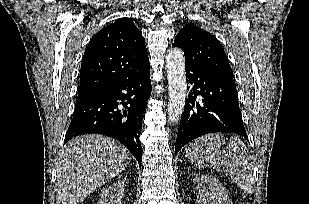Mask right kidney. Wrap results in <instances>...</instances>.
Returning <instances> with one entry per match:
<instances>
[{"mask_svg":"<svg viewBox=\"0 0 309 204\" xmlns=\"http://www.w3.org/2000/svg\"><path fill=\"white\" fill-rule=\"evenodd\" d=\"M124 192V182H116L101 190L100 199L97 204H121Z\"/></svg>","mask_w":309,"mask_h":204,"instance_id":"ca27d5eb","label":"right kidney"}]
</instances>
